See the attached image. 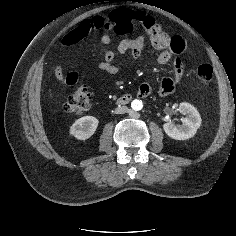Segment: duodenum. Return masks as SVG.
I'll list each match as a JSON object with an SVG mask.
<instances>
[{"instance_id": "410a0bca", "label": "duodenum", "mask_w": 236, "mask_h": 236, "mask_svg": "<svg viewBox=\"0 0 236 236\" xmlns=\"http://www.w3.org/2000/svg\"><path fill=\"white\" fill-rule=\"evenodd\" d=\"M131 98L132 96L129 93H125L118 98L117 104L119 105L127 104L130 102Z\"/></svg>"}]
</instances>
